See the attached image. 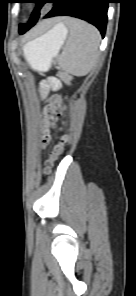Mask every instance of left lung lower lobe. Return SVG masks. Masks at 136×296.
I'll use <instances>...</instances> for the list:
<instances>
[{
	"label": "left lung lower lobe",
	"mask_w": 136,
	"mask_h": 296,
	"mask_svg": "<svg viewBox=\"0 0 136 296\" xmlns=\"http://www.w3.org/2000/svg\"><path fill=\"white\" fill-rule=\"evenodd\" d=\"M50 3L54 7L44 18L63 15L77 17L96 26L104 37L110 0H52ZM29 28L20 29V34H24Z\"/></svg>",
	"instance_id": "obj_1"
}]
</instances>
